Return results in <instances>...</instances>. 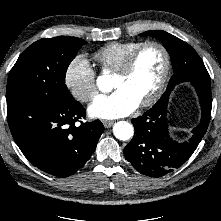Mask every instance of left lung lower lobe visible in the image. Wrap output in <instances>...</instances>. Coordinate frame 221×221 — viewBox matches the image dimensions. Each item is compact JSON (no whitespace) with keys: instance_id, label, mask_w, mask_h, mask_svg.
I'll return each mask as SVG.
<instances>
[{"instance_id":"1","label":"left lung lower lobe","mask_w":221,"mask_h":221,"mask_svg":"<svg viewBox=\"0 0 221 221\" xmlns=\"http://www.w3.org/2000/svg\"><path fill=\"white\" fill-rule=\"evenodd\" d=\"M199 96L202 117L187 142L178 143L168 134L166 120L169 95L167 89L156 104L142 116L132 119L135 129L133 139L124 148V155L140 173L161 177L179 168L193 154L208 128L211 118L212 95L208 83L191 81Z\"/></svg>"}]
</instances>
